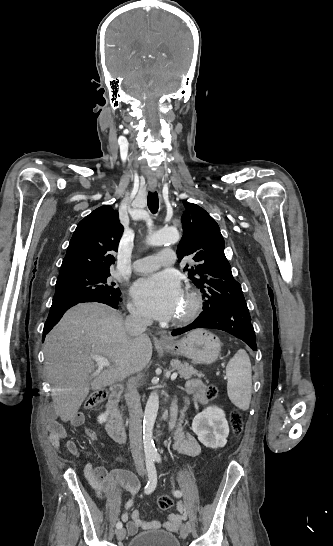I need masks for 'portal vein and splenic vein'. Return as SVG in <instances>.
Here are the masks:
<instances>
[{"instance_id": "1", "label": "portal vein and splenic vein", "mask_w": 333, "mask_h": 546, "mask_svg": "<svg viewBox=\"0 0 333 546\" xmlns=\"http://www.w3.org/2000/svg\"><path fill=\"white\" fill-rule=\"evenodd\" d=\"M91 357L101 367H109L110 366L109 360L104 356L92 355ZM176 377H177V373L175 372V373H173L171 375V380H175Z\"/></svg>"}]
</instances>
